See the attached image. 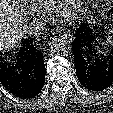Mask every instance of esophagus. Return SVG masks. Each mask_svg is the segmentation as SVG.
Masks as SVG:
<instances>
[{
    "mask_svg": "<svg viewBox=\"0 0 113 113\" xmlns=\"http://www.w3.org/2000/svg\"><path fill=\"white\" fill-rule=\"evenodd\" d=\"M61 38L64 39L65 41H67V42H72V40H73L72 35H69V34H62Z\"/></svg>",
    "mask_w": 113,
    "mask_h": 113,
    "instance_id": "1",
    "label": "esophagus"
}]
</instances>
